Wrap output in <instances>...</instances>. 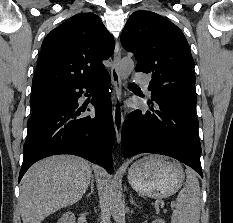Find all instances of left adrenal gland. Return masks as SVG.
I'll return each mask as SVG.
<instances>
[{"mask_svg": "<svg viewBox=\"0 0 233 223\" xmlns=\"http://www.w3.org/2000/svg\"><path fill=\"white\" fill-rule=\"evenodd\" d=\"M131 195V193H130ZM131 203H134V205H136V207H139V205H137L135 199H133L132 195H131V199H130Z\"/></svg>", "mask_w": 233, "mask_h": 223, "instance_id": "obj_1", "label": "left adrenal gland"}]
</instances>
